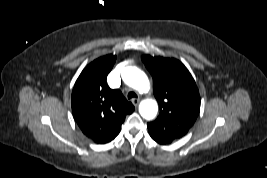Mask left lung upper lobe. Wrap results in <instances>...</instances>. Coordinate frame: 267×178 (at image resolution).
I'll return each mask as SVG.
<instances>
[{"label": "left lung upper lobe", "instance_id": "left-lung-upper-lobe-1", "mask_svg": "<svg viewBox=\"0 0 267 178\" xmlns=\"http://www.w3.org/2000/svg\"><path fill=\"white\" fill-rule=\"evenodd\" d=\"M154 80L158 118L147 124L150 136L169 144L187 134L200 111V95L187 68L177 59L142 56Z\"/></svg>", "mask_w": 267, "mask_h": 178}]
</instances>
